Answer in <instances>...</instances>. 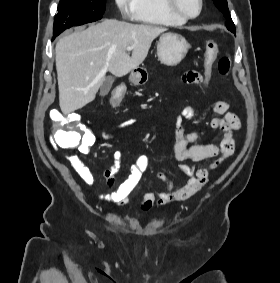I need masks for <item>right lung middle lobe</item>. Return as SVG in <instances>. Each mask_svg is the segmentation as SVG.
I'll return each instance as SVG.
<instances>
[{
	"instance_id": "dd1d6c3e",
	"label": "right lung middle lobe",
	"mask_w": 280,
	"mask_h": 283,
	"mask_svg": "<svg viewBox=\"0 0 280 283\" xmlns=\"http://www.w3.org/2000/svg\"><path fill=\"white\" fill-rule=\"evenodd\" d=\"M105 8L106 0H60L54 19V36L72 26L101 19Z\"/></svg>"
}]
</instances>
